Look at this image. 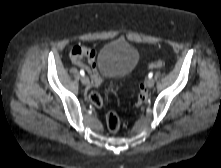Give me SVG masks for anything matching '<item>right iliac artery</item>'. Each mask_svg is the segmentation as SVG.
I'll list each match as a JSON object with an SVG mask.
<instances>
[{
  "label": "right iliac artery",
  "instance_id": "1",
  "mask_svg": "<svg viewBox=\"0 0 221 168\" xmlns=\"http://www.w3.org/2000/svg\"><path fill=\"white\" fill-rule=\"evenodd\" d=\"M80 74H81L82 76H84V75H85V72H84L83 70H80Z\"/></svg>",
  "mask_w": 221,
  "mask_h": 168
}]
</instances>
